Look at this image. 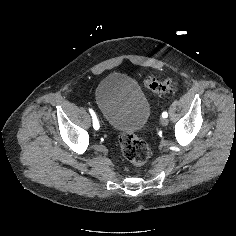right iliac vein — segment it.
Listing matches in <instances>:
<instances>
[{"instance_id": "63e3f726", "label": "right iliac vein", "mask_w": 236, "mask_h": 236, "mask_svg": "<svg viewBox=\"0 0 236 236\" xmlns=\"http://www.w3.org/2000/svg\"><path fill=\"white\" fill-rule=\"evenodd\" d=\"M97 117H98V119H99V114H98ZM99 120H100V119H99ZM99 124H100L101 128L104 130V129H105L104 126H103L104 124H102L101 121L99 122Z\"/></svg>"}]
</instances>
